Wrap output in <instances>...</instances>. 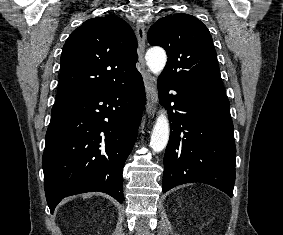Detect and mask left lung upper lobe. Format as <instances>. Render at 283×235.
<instances>
[{"label": "left lung upper lobe", "instance_id": "1", "mask_svg": "<svg viewBox=\"0 0 283 235\" xmlns=\"http://www.w3.org/2000/svg\"><path fill=\"white\" fill-rule=\"evenodd\" d=\"M148 42L167 53L163 77L203 93L226 96L212 37L196 17L174 14L160 18L149 29Z\"/></svg>", "mask_w": 283, "mask_h": 235}]
</instances>
